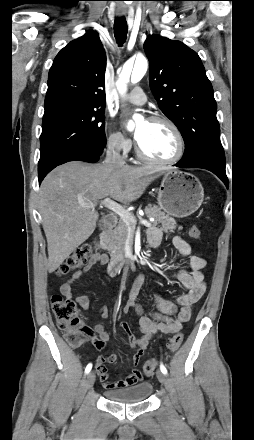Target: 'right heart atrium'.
<instances>
[{"mask_svg":"<svg viewBox=\"0 0 254 440\" xmlns=\"http://www.w3.org/2000/svg\"><path fill=\"white\" fill-rule=\"evenodd\" d=\"M107 146L115 152L127 155L132 150L133 143L122 132L111 130L107 136Z\"/></svg>","mask_w":254,"mask_h":440,"instance_id":"obj_1","label":"right heart atrium"}]
</instances>
